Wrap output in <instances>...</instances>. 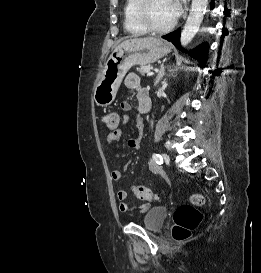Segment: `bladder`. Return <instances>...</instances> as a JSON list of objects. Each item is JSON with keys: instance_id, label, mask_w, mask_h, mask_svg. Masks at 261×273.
Segmentation results:
<instances>
[{"instance_id": "obj_1", "label": "bladder", "mask_w": 261, "mask_h": 273, "mask_svg": "<svg viewBox=\"0 0 261 273\" xmlns=\"http://www.w3.org/2000/svg\"><path fill=\"white\" fill-rule=\"evenodd\" d=\"M168 211L161 206H153L149 208L143 218V225L148 231H157L162 228Z\"/></svg>"}]
</instances>
